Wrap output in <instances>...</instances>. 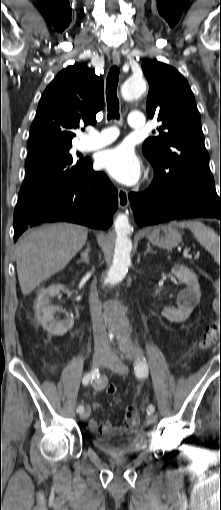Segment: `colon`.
Listing matches in <instances>:
<instances>
[{"instance_id":"5ec220e1","label":"colon","mask_w":221,"mask_h":510,"mask_svg":"<svg viewBox=\"0 0 221 510\" xmlns=\"http://www.w3.org/2000/svg\"><path fill=\"white\" fill-rule=\"evenodd\" d=\"M217 341H221V320L219 324H215L207 329L202 340L200 341V347L204 350L210 349ZM116 391L117 388L113 384L110 385L107 389V392L110 395H114ZM132 417L138 421V411H133Z\"/></svg>"}]
</instances>
